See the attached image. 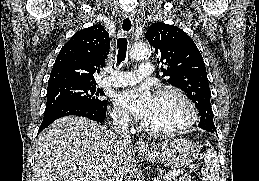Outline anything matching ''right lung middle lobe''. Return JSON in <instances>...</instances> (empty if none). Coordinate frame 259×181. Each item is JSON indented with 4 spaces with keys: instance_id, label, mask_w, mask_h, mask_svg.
I'll list each match as a JSON object with an SVG mask.
<instances>
[{
    "instance_id": "1",
    "label": "right lung middle lobe",
    "mask_w": 259,
    "mask_h": 181,
    "mask_svg": "<svg viewBox=\"0 0 259 181\" xmlns=\"http://www.w3.org/2000/svg\"><path fill=\"white\" fill-rule=\"evenodd\" d=\"M104 95L96 90V84L61 83L47 87V103L44 114L64 105H84L93 108L107 106Z\"/></svg>"
}]
</instances>
